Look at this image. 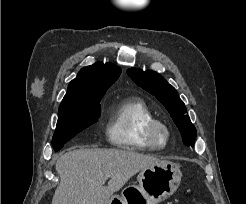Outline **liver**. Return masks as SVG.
<instances>
[{
  "label": "liver",
  "instance_id": "1",
  "mask_svg": "<svg viewBox=\"0 0 246 204\" xmlns=\"http://www.w3.org/2000/svg\"><path fill=\"white\" fill-rule=\"evenodd\" d=\"M159 162L130 150H70L56 162L60 183L52 204H106L132 176ZM107 175L110 180L104 186Z\"/></svg>",
  "mask_w": 246,
  "mask_h": 204
}]
</instances>
